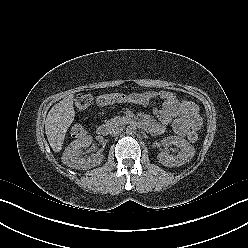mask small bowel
Masks as SVG:
<instances>
[{"label": "small bowel", "instance_id": "c3829d8e", "mask_svg": "<svg viewBox=\"0 0 248 248\" xmlns=\"http://www.w3.org/2000/svg\"><path fill=\"white\" fill-rule=\"evenodd\" d=\"M160 99L162 104L154 109V115L160 123L145 117L142 121L151 133L159 135L164 132L165 126L171 122L176 134L189 137V135L200 129L202 118L196 104L187 100H179L172 92L166 90L145 91L140 93L126 94L124 102L146 106L153 99Z\"/></svg>", "mask_w": 248, "mask_h": 248}]
</instances>
